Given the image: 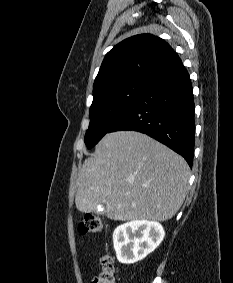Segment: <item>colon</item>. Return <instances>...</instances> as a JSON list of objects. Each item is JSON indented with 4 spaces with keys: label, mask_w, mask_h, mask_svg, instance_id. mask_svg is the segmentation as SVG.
Wrapping results in <instances>:
<instances>
[{
    "label": "colon",
    "mask_w": 233,
    "mask_h": 283,
    "mask_svg": "<svg viewBox=\"0 0 233 283\" xmlns=\"http://www.w3.org/2000/svg\"><path fill=\"white\" fill-rule=\"evenodd\" d=\"M102 230V221L99 216L86 214L78 226V231L82 235L98 234ZM102 272L95 277L91 283H115L113 259L109 255L101 258Z\"/></svg>",
    "instance_id": "colon-1"
}]
</instances>
